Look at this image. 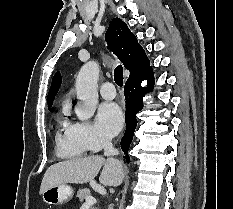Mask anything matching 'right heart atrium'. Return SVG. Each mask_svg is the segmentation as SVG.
Here are the masks:
<instances>
[{
    "label": "right heart atrium",
    "mask_w": 233,
    "mask_h": 209,
    "mask_svg": "<svg viewBox=\"0 0 233 209\" xmlns=\"http://www.w3.org/2000/svg\"><path fill=\"white\" fill-rule=\"evenodd\" d=\"M71 134L79 145L89 151H98L109 144V141L87 122H74L71 125Z\"/></svg>",
    "instance_id": "right-heart-atrium-1"
}]
</instances>
